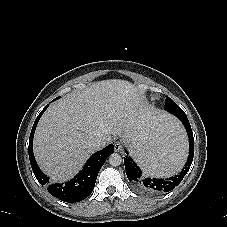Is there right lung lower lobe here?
<instances>
[{"label": "right lung lower lobe", "mask_w": 227, "mask_h": 227, "mask_svg": "<svg viewBox=\"0 0 227 227\" xmlns=\"http://www.w3.org/2000/svg\"><path fill=\"white\" fill-rule=\"evenodd\" d=\"M54 101V100H53ZM48 105L40 112L36 118L33 128L31 130L29 139V159L32 170L35 177L41 185H48L49 178L44 175L38 167L32 149L33 135L37 126V123L42 116L43 112L47 109ZM114 152L113 144L108 145L104 149L93 154L87 161L81 172L69 182L62 184L49 185L48 191L53 196L64 202H79L87 198L94 189L95 182L98 176V172L105 163L107 157Z\"/></svg>", "instance_id": "98d812e1"}]
</instances>
